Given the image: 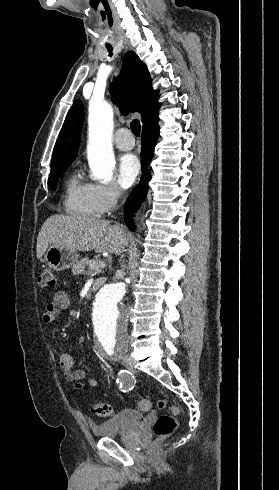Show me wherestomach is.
Masks as SVG:
<instances>
[{
	"mask_svg": "<svg viewBox=\"0 0 279 490\" xmlns=\"http://www.w3.org/2000/svg\"><path fill=\"white\" fill-rule=\"evenodd\" d=\"M79 254L72 252V250H66V248H58V246H50L48 248L44 260L55 272H63V270H68L73 264L78 262Z\"/></svg>",
	"mask_w": 279,
	"mask_h": 490,
	"instance_id": "1",
	"label": "stomach"
}]
</instances>
